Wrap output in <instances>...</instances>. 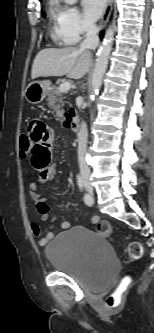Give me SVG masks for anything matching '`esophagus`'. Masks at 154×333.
<instances>
[{
  "mask_svg": "<svg viewBox=\"0 0 154 333\" xmlns=\"http://www.w3.org/2000/svg\"><path fill=\"white\" fill-rule=\"evenodd\" d=\"M113 2H114V0H108L106 9L104 11V14H103V16L101 18V21H100V24H99V30L104 28L105 25L107 24V22L109 20V17H110V14H111V11H112Z\"/></svg>",
  "mask_w": 154,
  "mask_h": 333,
  "instance_id": "1",
  "label": "esophagus"
}]
</instances>
